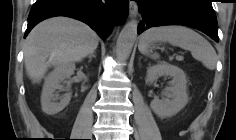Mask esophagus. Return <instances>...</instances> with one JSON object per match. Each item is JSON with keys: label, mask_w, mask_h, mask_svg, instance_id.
<instances>
[{"label": "esophagus", "mask_w": 236, "mask_h": 140, "mask_svg": "<svg viewBox=\"0 0 236 140\" xmlns=\"http://www.w3.org/2000/svg\"><path fill=\"white\" fill-rule=\"evenodd\" d=\"M138 13V6L137 3L135 1H130L129 2V15L131 17L136 16Z\"/></svg>", "instance_id": "obj_1"}]
</instances>
